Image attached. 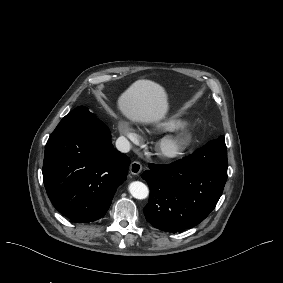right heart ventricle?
I'll list each match as a JSON object with an SVG mask.
<instances>
[{"instance_id":"right-heart-ventricle-1","label":"right heart ventricle","mask_w":283,"mask_h":283,"mask_svg":"<svg viewBox=\"0 0 283 283\" xmlns=\"http://www.w3.org/2000/svg\"><path fill=\"white\" fill-rule=\"evenodd\" d=\"M181 123V120L178 118H170L159 124V126L164 130H171L176 128Z\"/></svg>"}]
</instances>
